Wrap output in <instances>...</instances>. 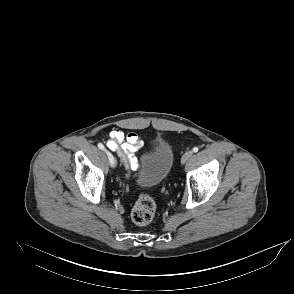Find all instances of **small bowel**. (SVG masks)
Returning a JSON list of instances; mask_svg holds the SVG:
<instances>
[{"mask_svg": "<svg viewBox=\"0 0 294 294\" xmlns=\"http://www.w3.org/2000/svg\"><path fill=\"white\" fill-rule=\"evenodd\" d=\"M106 145L118 154L129 170L137 169L138 160L134 153L142 147L143 142L136 132L124 133L119 129H114L110 132Z\"/></svg>", "mask_w": 294, "mask_h": 294, "instance_id": "obj_1", "label": "small bowel"}]
</instances>
